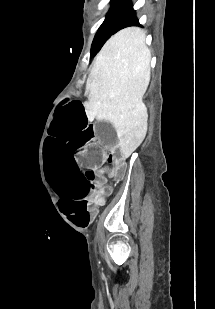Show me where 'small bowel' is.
<instances>
[{"label": "small bowel", "instance_id": "small-bowel-1", "mask_svg": "<svg viewBox=\"0 0 215 309\" xmlns=\"http://www.w3.org/2000/svg\"><path fill=\"white\" fill-rule=\"evenodd\" d=\"M97 204H102L103 198L110 194L111 190L108 187L104 186V183L101 181L97 182Z\"/></svg>", "mask_w": 215, "mask_h": 309}]
</instances>
